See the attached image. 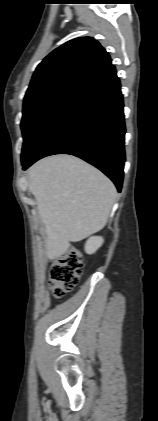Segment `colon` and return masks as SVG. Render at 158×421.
Instances as JSON below:
<instances>
[{
    "label": "colon",
    "instance_id": "obj_1",
    "mask_svg": "<svg viewBox=\"0 0 158 421\" xmlns=\"http://www.w3.org/2000/svg\"><path fill=\"white\" fill-rule=\"evenodd\" d=\"M83 270L81 255L75 248L66 250L51 267L50 287L61 298L77 285Z\"/></svg>",
    "mask_w": 158,
    "mask_h": 421
}]
</instances>
